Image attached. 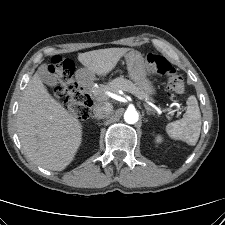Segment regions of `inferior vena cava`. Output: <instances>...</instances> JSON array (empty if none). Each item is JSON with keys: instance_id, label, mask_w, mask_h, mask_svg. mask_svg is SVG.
<instances>
[{"instance_id": "602c4592", "label": "inferior vena cava", "mask_w": 225, "mask_h": 225, "mask_svg": "<svg viewBox=\"0 0 225 225\" xmlns=\"http://www.w3.org/2000/svg\"><path fill=\"white\" fill-rule=\"evenodd\" d=\"M112 111L113 106L107 102L98 103L97 105H95L93 109L94 116L99 119L107 117L108 115L111 114Z\"/></svg>"}]
</instances>
